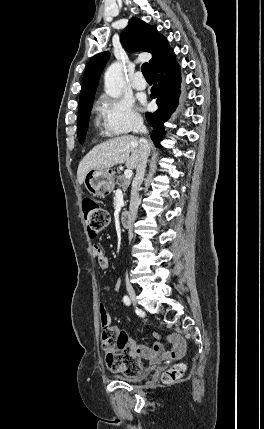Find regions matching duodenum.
<instances>
[{"mask_svg": "<svg viewBox=\"0 0 264 429\" xmlns=\"http://www.w3.org/2000/svg\"><path fill=\"white\" fill-rule=\"evenodd\" d=\"M131 214L132 213L130 211L121 212L119 219H120V223L123 227H129L130 222H131V220H130Z\"/></svg>", "mask_w": 264, "mask_h": 429, "instance_id": "duodenum-1", "label": "duodenum"}]
</instances>
